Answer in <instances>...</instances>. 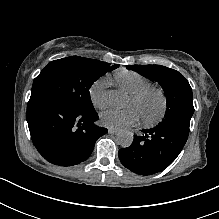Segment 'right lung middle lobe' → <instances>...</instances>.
<instances>
[{"instance_id":"1","label":"right lung middle lobe","mask_w":219,"mask_h":219,"mask_svg":"<svg viewBox=\"0 0 219 219\" xmlns=\"http://www.w3.org/2000/svg\"><path fill=\"white\" fill-rule=\"evenodd\" d=\"M118 65L71 56L50 62L34 79L31 96H50L80 111L94 110L89 89Z\"/></svg>"}]
</instances>
